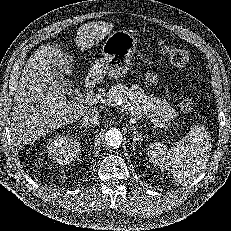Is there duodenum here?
<instances>
[{
  "instance_id": "410a0bca",
  "label": "duodenum",
  "mask_w": 231,
  "mask_h": 231,
  "mask_svg": "<svg viewBox=\"0 0 231 231\" xmlns=\"http://www.w3.org/2000/svg\"><path fill=\"white\" fill-rule=\"evenodd\" d=\"M96 84V79L94 77H89L84 84L85 89H92Z\"/></svg>"
}]
</instances>
